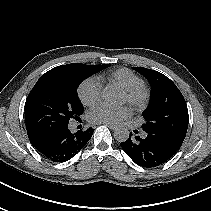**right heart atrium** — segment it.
<instances>
[{
	"label": "right heart atrium",
	"instance_id": "d8ad5b80",
	"mask_svg": "<svg viewBox=\"0 0 211 211\" xmlns=\"http://www.w3.org/2000/svg\"><path fill=\"white\" fill-rule=\"evenodd\" d=\"M102 84L96 77L84 80L78 88V96L81 102L87 106H93L101 98Z\"/></svg>",
	"mask_w": 211,
	"mask_h": 211
}]
</instances>
